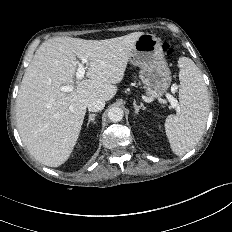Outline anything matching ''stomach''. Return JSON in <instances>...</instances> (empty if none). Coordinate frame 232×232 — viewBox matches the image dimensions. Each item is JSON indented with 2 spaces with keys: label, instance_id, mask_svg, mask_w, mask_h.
Here are the masks:
<instances>
[{
  "label": "stomach",
  "instance_id": "0dacf381",
  "mask_svg": "<svg viewBox=\"0 0 232 232\" xmlns=\"http://www.w3.org/2000/svg\"><path fill=\"white\" fill-rule=\"evenodd\" d=\"M129 59L140 68L139 77L149 97L159 98L168 90L172 80L171 71L165 60L161 41L156 35H141Z\"/></svg>",
  "mask_w": 232,
  "mask_h": 232
}]
</instances>
